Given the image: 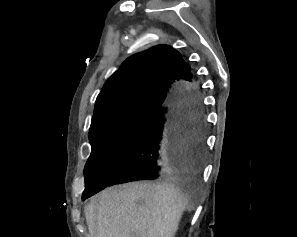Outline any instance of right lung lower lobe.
<instances>
[{"instance_id": "1", "label": "right lung lower lobe", "mask_w": 297, "mask_h": 237, "mask_svg": "<svg viewBox=\"0 0 297 237\" xmlns=\"http://www.w3.org/2000/svg\"><path fill=\"white\" fill-rule=\"evenodd\" d=\"M205 136L200 86L194 78L191 83L174 88L169 102L151 113L106 187L198 173L205 157Z\"/></svg>"}]
</instances>
